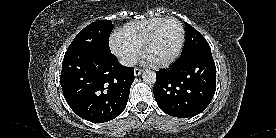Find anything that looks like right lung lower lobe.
I'll return each instance as SVG.
<instances>
[{
	"mask_svg": "<svg viewBox=\"0 0 276 138\" xmlns=\"http://www.w3.org/2000/svg\"><path fill=\"white\" fill-rule=\"evenodd\" d=\"M134 68L118 63L111 51L78 50L64 56L60 83L70 108L81 118L103 123L127 105Z\"/></svg>",
	"mask_w": 276,
	"mask_h": 138,
	"instance_id": "98d812e1",
	"label": "right lung lower lobe"
}]
</instances>
